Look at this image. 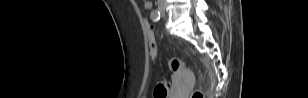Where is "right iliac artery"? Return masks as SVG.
<instances>
[{"label": "right iliac artery", "instance_id": "1", "mask_svg": "<svg viewBox=\"0 0 308 98\" xmlns=\"http://www.w3.org/2000/svg\"><path fill=\"white\" fill-rule=\"evenodd\" d=\"M150 17L154 22L158 21L161 17L160 11L157 9L153 10Z\"/></svg>", "mask_w": 308, "mask_h": 98}]
</instances>
